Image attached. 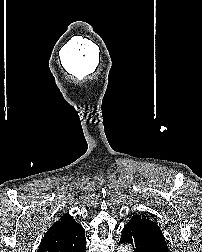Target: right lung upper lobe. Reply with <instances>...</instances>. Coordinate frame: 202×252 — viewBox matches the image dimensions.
Wrapping results in <instances>:
<instances>
[{
    "label": "right lung upper lobe",
    "instance_id": "right-lung-upper-lobe-1",
    "mask_svg": "<svg viewBox=\"0 0 202 252\" xmlns=\"http://www.w3.org/2000/svg\"><path fill=\"white\" fill-rule=\"evenodd\" d=\"M84 228L69 214L63 215L46 232L38 252H82Z\"/></svg>",
    "mask_w": 202,
    "mask_h": 252
}]
</instances>
